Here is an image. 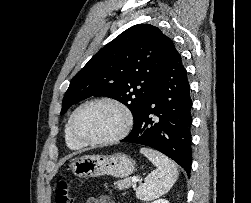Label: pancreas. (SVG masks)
Instances as JSON below:
<instances>
[{
  "mask_svg": "<svg viewBox=\"0 0 251 203\" xmlns=\"http://www.w3.org/2000/svg\"><path fill=\"white\" fill-rule=\"evenodd\" d=\"M116 187L119 190H123V189H127L129 188L131 185H133V182L131 181V178H126L124 180H119L115 183Z\"/></svg>",
  "mask_w": 251,
  "mask_h": 203,
  "instance_id": "pancreas-1",
  "label": "pancreas"
}]
</instances>
